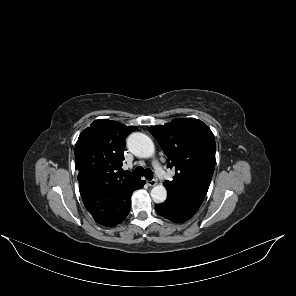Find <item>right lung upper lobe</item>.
<instances>
[{"mask_svg":"<svg viewBox=\"0 0 296 296\" xmlns=\"http://www.w3.org/2000/svg\"><path fill=\"white\" fill-rule=\"evenodd\" d=\"M136 129L107 119L95 120L84 129L75 146L78 178L88 177L98 186L127 185L139 179L116 171L124 160L125 139Z\"/></svg>","mask_w":296,"mask_h":296,"instance_id":"cb5924a9","label":"right lung upper lobe"}]
</instances>
